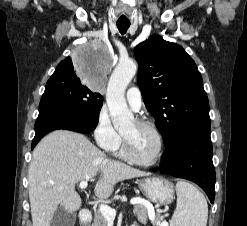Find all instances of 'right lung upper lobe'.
<instances>
[{
  "label": "right lung upper lobe",
  "instance_id": "1",
  "mask_svg": "<svg viewBox=\"0 0 247 226\" xmlns=\"http://www.w3.org/2000/svg\"><path fill=\"white\" fill-rule=\"evenodd\" d=\"M71 59L70 57H67L65 60L61 61L60 64L56 67V70H59L67 65H70Z\"/></svg>",
  "mask_w": 247,
  "mask_h": 226
}]
</instances>
